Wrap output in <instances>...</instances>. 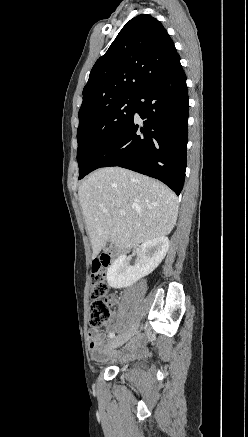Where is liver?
<instances>
[{
    "mask_svg": "<svg viewBox=\"0 0 248 437\" xmlns=\"http://www.w3.org/2000/svg\"><path fill=\"white\" fill-rule=\"evenodd\" d=\"M78 195L93 258L107 242L129 249L170 234L176 224L177 196L161 182L124 168L96 170Z\"/></svg>",
    "mask_w": 248,
    "mask_h": 437,
    "instance_id": "1",
    "label": "liver"
}]
</instances>
